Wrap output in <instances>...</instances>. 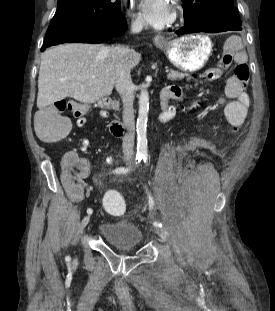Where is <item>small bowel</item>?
<instances>
[{
	"instance_id": "small-bowel-1",
	"label": "small bowel",
	"mask_w": 275,
	"mask_h": 311,
	"mask_svg": "<svg viewBox=\"0 0 275 311\" xmlns=\"http://www.w3.org/2000/svg\"><path fill=\"white\" fill-rule=\"evenodd\" d=\"M234 60L237 64L246 63V55L243 52L241 40L238 37H230L224 46V54L221 60H215V67H230L231 61ZM217 72L212 69H204L203 75L207 80H212L217 76ZM167 97L169 100H182L183 91L179 86H169L163 89L161 97ZM162 105L163 112L160 116L161 122L171 120L176 114V108L168 104ZM219 104L225 106V118L228 124L233 128H239L247 115L249 106V97L245 91V83L242 82L235 74L227 80L225 93L222 98L218 100ZM192 112L198 111L197 105L191 106ZM84 108L79 106L78 110L74 111L80 115ZM99 116L107 118L106 111H100ZM87 120L84 116H79L76 124L78 127H83ZM217 139H224V132L216 133ZM90 142L88 139H81L82 149L85 150L89 147ZM78 150H61L60 167L58 169V176L64 180V187L68 195L75 201H80L84 197V186L76 180H85L89 176L90 168L83 155H78ZM113 158H108L107 162L110 163Z\"/></svg>"
}]
</instances>
